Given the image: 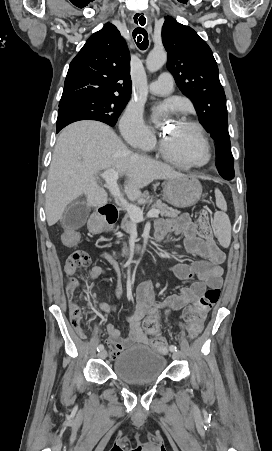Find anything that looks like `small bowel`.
<instances>
[{
  "label": "small bowel",
  "instance_id": "c3829d8e",
  "mask_svg": "<svg viewBox=\"0 0 272 451\" xmlns=\"http://www.w3.org/2000/svg\"><path fill=\"white\" fill-rule=\"evenodd\" d=\"M201 229L198 224H194L188 215H181L176 219H159L155 224V237L163 239L167 234L183 236V246L187 253L195 254L201 259L192 263H180L172 267L175 275L184 281H190V285L182 287L178 294H172L163 302L155 304V292L151 282L140 284L136 292V304L133 310L127 314L129 332L127 336L121 337L120 331L112 324L105 325L108 338L106 344L109 346L110 360H116L122 351L134 343L146 344L152 339L161 337V322L167 320L173 311L185 309L191 302L198 298L206 289H218L222 284L225 254L218 245H204L203 239L199 236ZM212 236V235H210ZM82 252V251H79ZM67 279L73 283L70 289H66L67 299L70 303V311H81L75 302L77 289L80 280L73 277L74 270H65ZM106 276V270L94 265L86 273L88 279H97ZM85 278L82 281H85ZM197 278V280H194ZM121 296V286L117 283L114 300L112 303L97 302L96 306L106 312L112 313L117 309V301ZM158 308L162 311L159 321L153 329H143L141 321L143 319L155 318ZM162 338V337H161Z\"/></svg>",
  "mask_w": 272,
  "mask_h": 451
}]
</instances>
